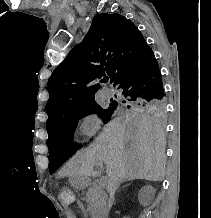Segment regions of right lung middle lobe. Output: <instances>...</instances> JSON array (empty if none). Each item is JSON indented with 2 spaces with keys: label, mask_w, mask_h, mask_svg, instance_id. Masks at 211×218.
<instances>
[{
  "label": "right lung middle lobe",
  "mask_w": 211,
  "mask_h": 218,
  "mask_svg": "<svg viewBox=\"0 0 211 218\" xmlns=\"http://www.w3.org/2000/svg\"><path fill=\"white\" fill-rule=\"evenodd\" d=\"M117 107H126L128 109L148 107L155 111L162 112L166 108V101L164 98L143 99L127 97L118 102L113 101L108 109H102L95 100H92L64 115L48 131L49 138L47 140V146L50 151V174H52L67 158L72 156L78 148V145L73 142V134L78 120L89 114L98 113L104 122H108Z\"/></svg>",
  "instance_id": "dd1d6c3e"
}]
</instances>
